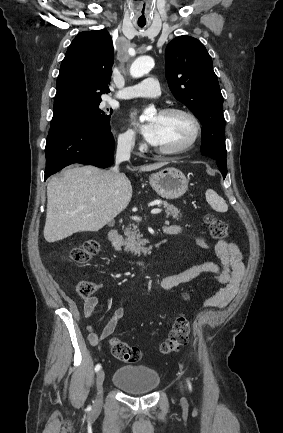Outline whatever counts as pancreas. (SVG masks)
Listing matches in <instances>:
<instances>
[{
    "label": "pancreas",
    "instance_id": "cf45deb5",
    "mask_svg": "<svg viewBox=\"0 0 283 433\" xmlns=\"http://www.w3.org/2000/svg\"><path fill=\"white\" fill-rule=\"evenodd\" d=\"M155 200H160V204L158 206H161L163 204V208H165L166 217H173V219H177L179 221L180 217V210H178L177 206H174V204H169L167 200H162V198H155ZM126 239V249L125 251H130V255H138L140 257L141 253H144V255H147L148 247H142V245H145L144 239H141L140 231L137 227V225H131V227H128V229H125L124 231Z\"/></svg>",
    "mask_w": 283,
    "mask_h": 433
}]
</instances>
